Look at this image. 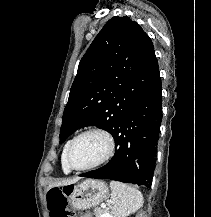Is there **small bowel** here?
Returning a JSON list of instances; mask_svg holds the SVG:
<instances>
[{
	"mask_svg": "<svg viewBox=\"0 0 211 217\" xmlns=\"http://www.w3.org/2000/svg\"><path fill=\"white\" fill-rule=\"evenodd\" d=\"M81 217H88L87 215H83V216H81Z\"/></svg>",
	"mask_w": 211,
	"mask_h": 217,
	"instance_id": "obj_1",
	"label": "small bowel"
}]
</instances>
